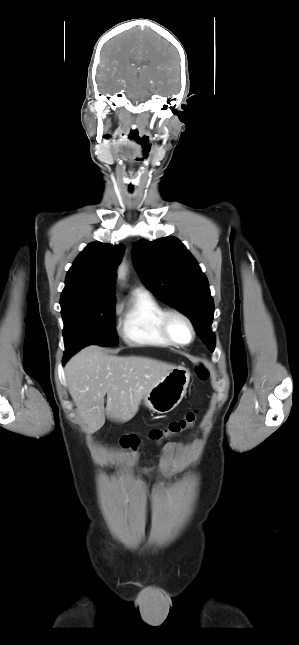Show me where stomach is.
<instances>
[{
  "mask_svg": "<svg viewBox=\"0 0 299 645\" xmlns=\"http://www.w3.org/2000/svg\"><path fill=\"white\" fill-rule=\"evenodd\" d=\"M190 381V372L176 367L165 375L143 397V404L158 414L172 411L183 399Z\"/></svg>",
  "mask_w": 299,
  "mask_h": 645,
  "instance_id": "1",
  "label": "stomach"
}]
</instances>
